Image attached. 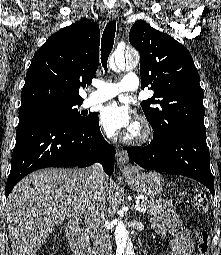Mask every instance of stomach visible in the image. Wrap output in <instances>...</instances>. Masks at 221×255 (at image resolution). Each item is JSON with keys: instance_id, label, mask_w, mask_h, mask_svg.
<instances>
[{"instance_id": "0dacf381", "label": "stomach", "mask_w": 221, "mask_h": 255, "mask_svg": "<svg viewBox=\"0 0 221 255\" xmlns=\"http://www.w3.org/2000/svg\"><path fill=\"white\" fill-rule=\"evenodd\" d=\"M127 184L138 194L155 197L164 190V179L156 172L133 173L125 176Z\"/></svg>"}]
</instances>
